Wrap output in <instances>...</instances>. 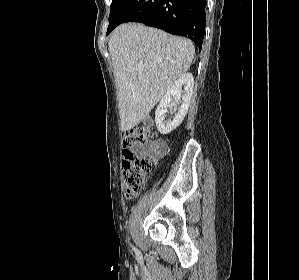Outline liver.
Instances as JSON below:
<instances>
[{
    "label": "liver",
    "mask_w": 299,
    "mask_h": 280,
    "mask_svg": "<svg viewBox=\"0 0 299 280\" xmlns=\"http://www.w3.org/2000/svg\"><path fill=\"white\" fill-rule=\"evenodd\" d=\"M108 45L119 90L121 129L128 131L190 68L195 48L189 39L140 23L117 27Z\"/></svg>",
    "instance_id": "obj_1"
}]
</instances>
